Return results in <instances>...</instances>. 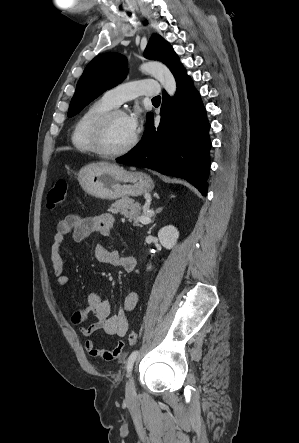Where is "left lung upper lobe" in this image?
<instances>
[{"instance_id": "1", "label": "left lung upper lobe", "mask_w": 299, "mask_h": 443, "mask_svg": "<svg viewBox=\"0 0 299 443\" xmlns=\"http://www.w3.org/2000/svg\"><path fill=\"white\" fill-rule=\"evenodd\" d=\"M144 56L148 59L162 61L174 76L184 69L171 45L157 34L150 38ZM126 74L127 62L120 54L106 53L95 57L87 65L77 83L68 116H75L104 91L121 83Z\"/></svg>"}]
</instances>
